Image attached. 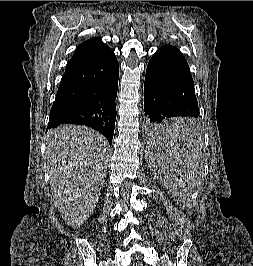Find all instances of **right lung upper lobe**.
<instances>
[{
    "mask_svg": "<svg viewBox=\"0 0 253 266\" xmlns=\"http://www.w3.org/2000/svg\"><path fill=\"white\" fill-rule=\"evenodd\" d=\"M109 48L100 38H92L81 43L75 50L67 68L96 56L101 51Z\"/></svg>",
    "mask_w": 253,
    "mask_h": 266,
    "instance_id": "cb5924a9",
    "label": "right lung upper lobe"
}]
</instances>
